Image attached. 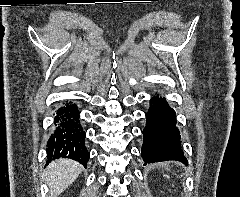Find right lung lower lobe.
I'll return each mask as SVG.
<instances>
[{"label":"right lung lower lobe","instance_id":"obj_1","mask_svg":"<svg viewBox=\"0 0 240 197\" xmlns=\"http://www.w3.org/2000/svg\"><path fill=\"white\" fill-rule=\"evenodd\" d=\"M79 117L75 104H65L58 108L53 131L47 142L49 162L57 158H70L86 167L90 155L84 144L86 134Z\"/></svg>","mask_w":240,"mask_h":197}]
</instances>
